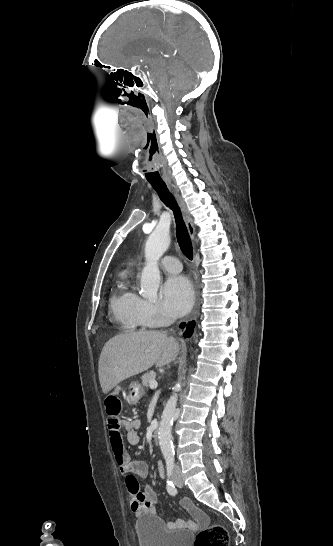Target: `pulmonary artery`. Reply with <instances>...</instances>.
I'll list each match as a JSON object with an SVG mask.
<instances>
[{
  "mask_svg": "<svg viewBox=\"0 0 333 546\" xmlns=\"http://www.w3.org/2000/svg\"><path fill=\"white\" fill-rule=\"evenodd\" d=\"M160 267L170 273H178L181 271L182 266L180 261L173 256H165L159 262Z\"/></svg>",
  "mask_w": 333,
  "mask_h": 546,
  "instance_id": "1",
  "label": "pulmonary artery"
}]
</instances>
